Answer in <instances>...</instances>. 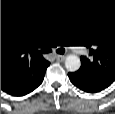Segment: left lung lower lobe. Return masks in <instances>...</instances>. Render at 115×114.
Returning <instances> with one entry per match:
<instances>
[{"label": "left lung lower lobe", "mask_w": 115, "mask_h": 114, "mask_svg": "<svg viewBox=\"0 0 115 114\" xmlns=\"http://www.w3.org/2000/svg\"><path fill=\"white\" fill-rule=\"evenodd\" d=\"M70 81L79 89L86 92H100L110 86L113 82L101 77L80 74L77 72L68 74Z\"/></svg>", "instance_id": "left-lung-lower-lobe-1"}]
</instances>
